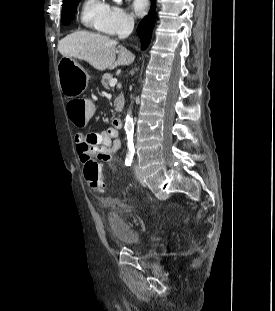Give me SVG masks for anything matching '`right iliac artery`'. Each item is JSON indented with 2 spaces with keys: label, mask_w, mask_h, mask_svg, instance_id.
Returning a JSON list of instances; mask_svg holds the SVG:
<instances>
[{
  "label": "right iliac artery",
  "mask_w": 275,
  "mask_h": 311,
  "mask_svg": "<svg viewBox=\"0 0 275 311\" xmlns=\"http://www.w3.org/2000/svg\"><path fill=\"white\" fill-rule=\"evenodd\" d=\"M132 161H133V154L128 153L127 156H126L125 164L127 166H130Z\"/></svg>",
  "instance_id": "obj_1"
}]
</instances>
